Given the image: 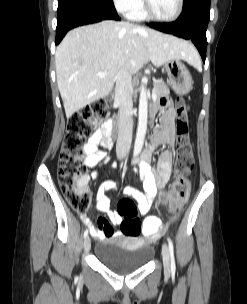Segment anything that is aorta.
Wrapping results in <instances>:
<instances>
[{
  "label": "aorta",
  "instance_id": "762f6f07",
  "mask_svg": "<svg viewBox=\"0 0 247 304\" xmlns=\"http://www.w3.org/2000/svg\"><path fill=\"white\" fill-rule=\"evenodd\" d=\"M147 78L143 77L140 86V98H139V122L137 127L136 139L134 149L135 151H141L147 129V116H148V100L147 90L145 84Z\"/></svg>",
  "mask_w": 247,
  "mask_h": 304
}]
</instances>
